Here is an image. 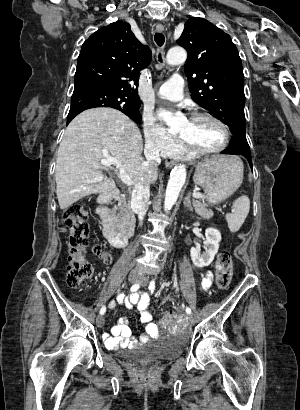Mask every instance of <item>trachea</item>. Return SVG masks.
Returning <instances> with one entry per match:
<instances>
[{"instance_id":"obj_1","label":"trachea","mask_w":300,"mask_h":410,"mask_svg":"<svg viewBox=\"0 0 300 410\" xmlns=\"http://www.w3.org/2000/svg\"><path fill=\"white\" fill-rule=\"evenodd\" d=\"M155 42L156 44L161 47L163 46L164 42H165V37L162 33H156L154 36ZM159 61H162L161 59V55H159Z\"/></svg>"}]
</instances>
